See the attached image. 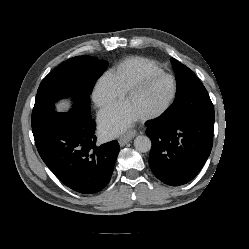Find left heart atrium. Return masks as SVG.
Wrapping results in <instances>:
<instances>
[{
	"label": "left heart atrium",
	"mask_w": 249,
	"mask_h": 249,
	"mask_svg": "<svg viewBox=\"0 0 249 249\" xmlns=\"http://www.w3.org/2000/svg\"><path fill=\"white\" fill-rule=\"evenodd\" d=\"M99 118L103 133L114 136L130 127L138 116L126 103H118L102 111Z\"/></svg>",
	"instance_id": "1"
}]
</instances>
